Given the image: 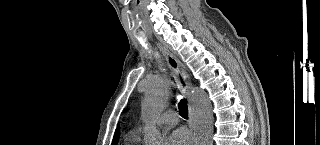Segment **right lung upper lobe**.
I'll use <instances>...</instances> for the list:
<instances>
[{
	"mask_svg": "<svg viewBox=\"0 0 320 145\" xmlns=\"http://www.w3.org/2000/svg\"><path fill=\"white\" fill-rule=\"evenodd\" d=\"M118 138H119V132H118V130H116V133H115V135H114V138H113V141H112V143L113 142H117V140H118Z\"/></svg>",
	"mask_w": 320,
	"mask_h": 145,
	"instance_id": "1",
	"label": "right lung upper lobe"
}]
</instances>
